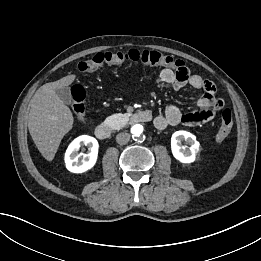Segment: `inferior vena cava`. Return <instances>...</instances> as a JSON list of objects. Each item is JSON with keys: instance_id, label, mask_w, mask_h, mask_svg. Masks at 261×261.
<instances>
[{"instance_id": "602c4592", "label": "inferior vena cava", "mask_w": 261, "mask_h": 261, "mask_svg": "<svg viewBox=\"0 0 261 261\" xmlns=\"http://www.w3.org/2000/svg\"><path fill=\"white\" fill-rule=\"evenodd\" d=\"M129 140H130V134L126 133V132H121V133L117 134V136H116V141L120 145H124V144L128 143Z\"/></svg>"}]
</instances>
